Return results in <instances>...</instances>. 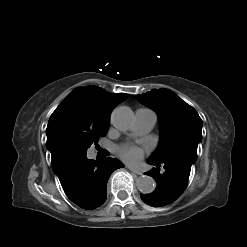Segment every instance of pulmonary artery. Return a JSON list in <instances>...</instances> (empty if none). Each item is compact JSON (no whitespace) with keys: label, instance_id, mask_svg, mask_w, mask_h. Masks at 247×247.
I'll list each match as a JSON object with an SVG mask.
<instances>
[{"label":"pulmonary artery","instance_id":"e3ab8cb5","mask_svg":"<svg viewBox=\"0 0 247 247\" xmlns=\"http://www.w3.org/2000/svg\"><path fill=\"white\" fill-rule=\"evenodd\" d=\"M157 116L150 109L140 108L135 112L133 132L137 135L148 133L155 125Z\"/></svg>","mask_w":247,"mask_h":247}]
</instances>
